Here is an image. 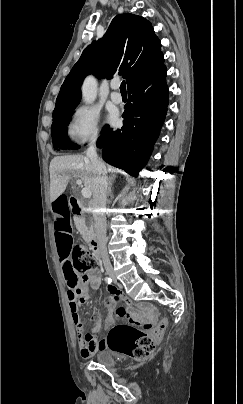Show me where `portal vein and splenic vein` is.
I'll return each mask as SVG.
<instances>
[{
	"mask_svg": "<svg viewBox=\"0 0 243 404\" xmlns=\"http://www.w3.org/2000/svg\"><path fill=\"white\" fill-rule=\"evenodd\" d=\"M76 184H82L81 180H77ZM83 198H91L92 196V192L91 190H89V188H82V192H81Z\"/></svg>",
	"mask_w": 243,
	"mask_h": 404,
	"instance_id": "1",
	"label": "portal vein and splenic vein"
}]
</instances>
